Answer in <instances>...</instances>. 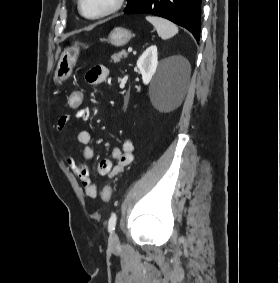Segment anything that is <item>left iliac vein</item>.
<instances>
[{"mask_svg":"<svg viewBox=\"0 0 280 283\" xmlns=\"http://www.w3.org/2000/svg\"><path fill=\"white\" fill-rule=\"evenodd\" d=\"M108 244L110 248H117L120 245L119 237L115 231L110 234Z\"/></svg>","mask_w":280,"mask_h":283,"instance_id":"1","label":"left iliac vein"}]
</instances>
